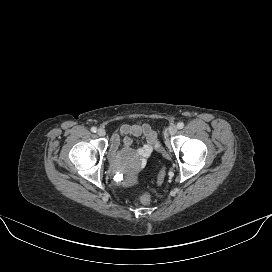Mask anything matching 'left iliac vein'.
Masks as SVG:
<instances>
[{"mask_svg": "<svg viewBox=\"0 0 272 272\" xmlns=\"http://www.w3.org/2000/svg\"><path fill=\"white\" fill-rule=\"evenodd\" d=\"M177 127L175 126V125H172V126H170L169 127V129H168V133L170 134V135H175L176 133H177Z\"/></svg>", "mask_w": 272, "mask_h": 272, "instance_id": "4c4485c4", "label": "left iliac vein"}]
</instances>
